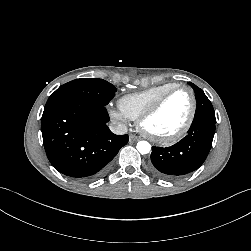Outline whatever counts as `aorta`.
<instances>
[{
	"instance_id": "obj_1",
	"label": "aorta",
	"mask_w": 251,
	"mask_h": 251,
	"mask_svg": "<svg viewBox=\"0 0 251 251\" xmlns=\"http://www.w3.org/2000/svg\"><path fill=\"white\" fill-rule=\"evenodd\" d=\"M137 150L141 153V154H147L150 152L151 150V146L147 141H139L137 143Z\"/></svg>"
}]
</instances>
